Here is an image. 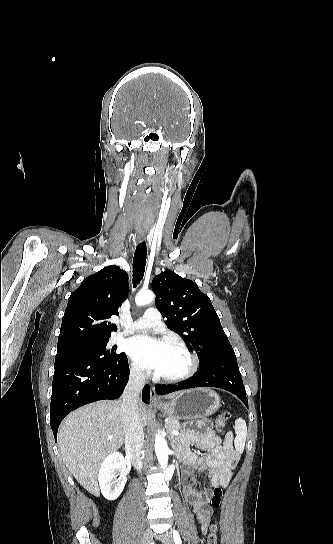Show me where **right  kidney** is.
Here are the masks:
<instances>
[{
  "label": "right kidney",
  "instance_id": "obj_1",
  "mask_svg": "<svg viewBox=\"0 0 333 544\" xmlns=\"http://www.w3.org/2000/svg\"><path fill=\"white\" fill-rule=\"evenodd\" d=\"M118 472L120 476L115 480ZM98 480L101 493L107 500L118 498L127 482L126 465L121 453L114 452L104 459L99 469Z\"/></svg>",
  "mask_w": 333,
  "mask_h": 544
}]
</instances>
